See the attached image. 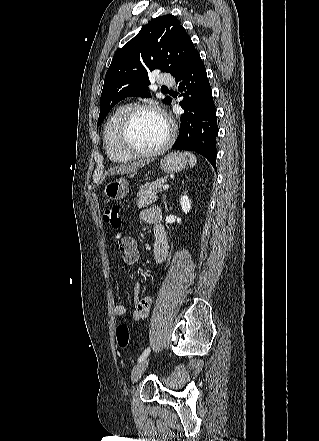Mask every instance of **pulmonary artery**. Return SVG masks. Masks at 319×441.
<instances>
[{
  "instance_id": "e3ab8cb5",
  "label": "pulmonary artery",
  "mask_w": 319,
  "mask_h": 441,
  "mask_svg": "<svg viewBox=\"0 0 319 441\" xmlns=\"http://www.w3.org/2000/svg\"><path fill=\"white\" fill-rule=\"evenodd\" d=\"M158 83L165 86H171L174 84V79L169 74H161L158 78Z\"/></svg>"
}]
</instances>
